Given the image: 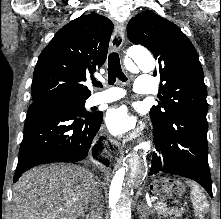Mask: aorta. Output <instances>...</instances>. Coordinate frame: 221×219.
I'll use <instances>...</instances> for the list:
<instances>
[{
	"instance_id": "aorta-1",
	"label": "aorta",
	"mask_w": 221,
	"mask_h": 219,
	"mask_svg": "<svg viewBox=\"0 0 221 219\" xmlns=\"http://www.w3.org/2000/svg\"><path fill=\"white\" fill-rule=\"evenodd\" d=\"M127 56L126 64L131 69L153 70L155 67L153 56L145 48H131ZM144 172V160L140 155H134L126 166L115 172L109 193L111 219H131V204Z\"/></svg>"
}]
</instances>
